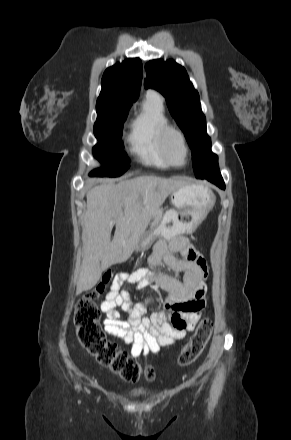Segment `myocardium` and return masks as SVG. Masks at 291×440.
I'll return each instance as SVG.
<instances>
[{"instance_id":"f54148a6","label":"myocardium","mask_w":291,"mask_h":440,"mask_svg":"<svg viewBox=\"0 0 291 440\" xmlns=\"http://www.w3.org/2000/svg\"><path fill=\"white\" fill-rule=\"evenodd\" d=\"M171 135H175L179 139V141L183 147L184 161L182 163L174 162L169 154L168 140ZM159 142H160V149H161L162 156L164 157V159L166 160L168 165L175 166V167H182V166L186 165V163L188 162V158H189V147H188L184 133L179 128L168 125V124L166 126H164L161 129L160 134H159Z\"/></svg>"}]
</instances>
